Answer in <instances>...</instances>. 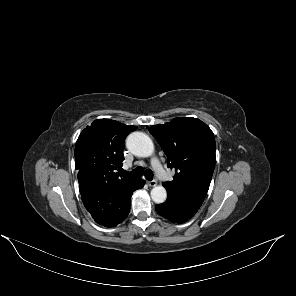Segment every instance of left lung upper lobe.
Wrapping results in <instances>:
<instances>
[{"instance_id": "obj_1", "label": "left lung upper lobe", "mask_w": 296, "mask_h": 296, "mask_svg": "<svg viewBox=\"0 0 296 296\" xmlns=\"http://www.w3.org/2000/svg\"><path fill=\"white\" fill-rule=\"evenodd\" d=\"M149 132L168 157V167L175 168L173 181L163 183L167 194L204 200L216 162L211 129L196 118H175Z\"/></svg>"}]
</instances>
